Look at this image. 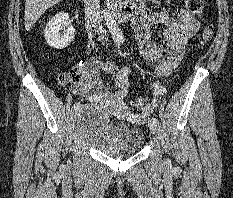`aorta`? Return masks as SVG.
Returning <instances> with one entry per match:
<instances>
[{
    "mask_svg": "<svg viewBox=\"0 0 233 198\" xmlns=\"http://www.w3.org/2000/svg\"><path fill=\"white\" fill-rule=\"evenodd\" d=\"M104 17H105L106 24L108 26V29H109L114 41L115 42L123 41L124 40L123 33L120 30L114 17L107 11H104Z\"/></svg>",
    "mask_w": 233,
    "mask_h": 198,
    "instance_id": "aorta-1",
    "label": "aorta"
}]
</instances>
